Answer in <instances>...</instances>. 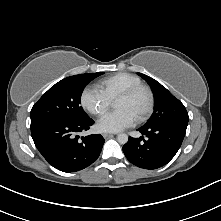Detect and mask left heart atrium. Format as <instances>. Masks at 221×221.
Listing matches in <instances>:
<instances>
[{"label":"left heart atrium","mask_w":221,"mask_h":221,"mask_svg":"<svg viewBox=\"0 0 221 221\" xmlns=\"http://www.w3.org/2000/svg\"><path fill=\"white\" fill-rule=\"evenodd\" d=\"M135 117L126 109H118L107 113L97 121V129L101 132H118L135 122Z\"/></svg>","instance_id":"1"}]
</instances>
